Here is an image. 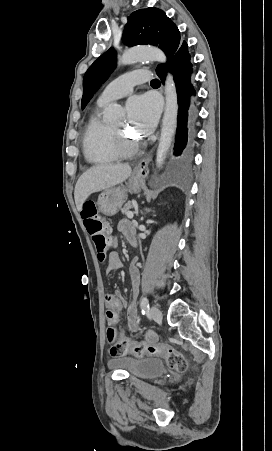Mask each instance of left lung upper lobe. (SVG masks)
<instances>
[{"label":"left lung upper lobe","mask_w":272,"mask_h":451,"mask_svg":"<svg viewBox=\"0 0 272 451\" xmlns=\"http://www.w3.org/2000/svg\"><path fill=\"white\" fill-rule=\"evenodd\" d=\"M124 29V42L128 46L149 44L158 46L169 62L178 50L182 40L177 26L158 8H146L133 12ZM165 65H158L156 70ZM116 67V52L109 49L87 70L83 78L82 109Z\"/></svg>","instance_id":"5c2ea615"}]
</instances>
